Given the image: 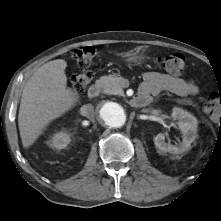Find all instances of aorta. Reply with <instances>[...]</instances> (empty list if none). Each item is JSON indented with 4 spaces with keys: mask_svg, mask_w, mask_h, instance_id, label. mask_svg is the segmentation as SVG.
Instances as JSON below:
<instances>
[{
    "mask_svg": "<svg viewBox=\"0 0 221 221\" xmlns=\"http://www.w3.org/2000/svg\"><path fill=\"white\" fill-rule=\"evenodd\" d=\"M98 117L103 124L112 128H119L125 124L127 113L121 104L108 101L101 105Z\"/></svg>",
    "mask_w": 221,
    "mask_h": 221,
    "instance_id": "obj_1",
    "label": "aorta"
}]
</instances>
